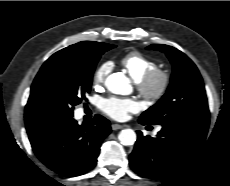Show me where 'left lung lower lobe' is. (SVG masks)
Listing matches in <instances>:
<instances>
[{
  "mask_svg": "<svg viewBox=\"0 0 230 186\" xmlns=\"http://www.w3.org/2000/svg\"><path fill=\"white\" fill-rule=\"evenodd\" d=\"M208 126L209 119H183L162 125L157 137H144L137 131L138 139L129 158L131 168L152 179L173 177L202 147Z\"/></svg>",
  "mask_w": 230,
  "mask_h": 186,
  "instance_id": "left-lung-lower-lobe-1",
  "label": "left lung lower lobe"
}]
</instances>
